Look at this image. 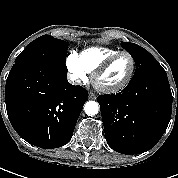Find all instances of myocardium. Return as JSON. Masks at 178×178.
Here are the masks:
<instances>
[{
    "instance_id": "f54148a6",
    "label": "myocardium",
    "mask_w": 178,
    "mask_h": 178,
    "mask_svg": "<svg viewBox=\"0 0 178 178\" xmlns=\"http://www.w3.org/2000/svg\"><path fill=\"white\" fill-rule=\"evenodd\" d=\"M128 56L131 60V69L130 72L128 74V76L119 84L112 86V87H103L98 83V79L100 77V75L102 73L105 72V70L118 58L122 57V56ZM135 70H136V60L134 58V56L128 52V51H120L116 54H113L112 56L108 57L106 60H104L94 71L92 74V82L93 85L102 93L105 94H114L117 92H120L121 90H123L125 87L128 86V84L131 82V80L133 79V76L135 74Z\"/></svg>"
}]
</instances>
